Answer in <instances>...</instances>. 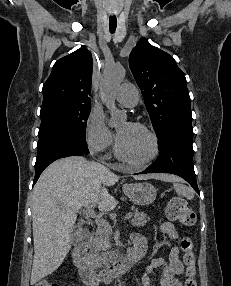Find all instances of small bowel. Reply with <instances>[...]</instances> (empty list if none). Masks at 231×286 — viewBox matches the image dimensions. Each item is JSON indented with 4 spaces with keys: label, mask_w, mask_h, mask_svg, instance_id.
Wrapping results in <instances>:
<instances>
[{
    "label": "small bowel",
    "mask_w": 231,
    "mask_h": 286,
    "mask_svg": "<svg viewBox=\"0 0 231 286\" xmlns=\"http://www.w3.org/2000/svg\"><path fill=\"white\" fill-rule=\"evenodd\" d=\"M160 230L171 240H176L178 238L175 227L169 222L161 223ZM138 241H143L146 244L145 239L141 235L134 234L132 236L133 245L135 246ZM179 254L178 247L174 246L170 251L168 260H165L164 258L153 259L142 276L143 286H151L149 276L157 268H162V277L159 281V286H182L180 280L177 278L184 270Z\"/></svg>",
    "instance_id": "c3829d8e"
}]
</instances>
